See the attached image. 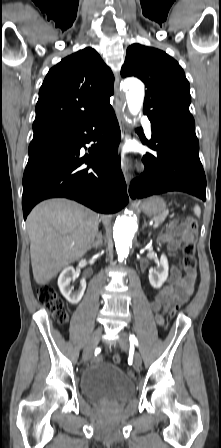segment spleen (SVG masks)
Here are the masks:
<instances>
[{
  "instance_id": "obj_1",
  "label": "spleen",
  "mask_w": 221,
  "mask_h": 448,
  "mask_svg": "<svg viewBox=\"0 0 221 448\" xmlns=\"http://www.w3.org/2000/svg\"><path fill=\"white\" fill-rule=\"evenodd\" d=\"M194 213H195L196 216H198V217L200 216L201 210H200L199 206L196 205L194 207Z\"/></svg>"
}]
</instances>
